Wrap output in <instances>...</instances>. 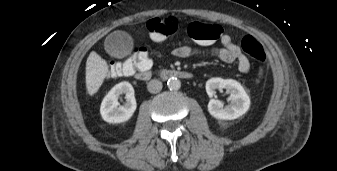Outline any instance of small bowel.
Listing matches in <instances>:
<instances>
[{"instance_id": "c3829d8e", "label": "small bowel", "mask_w": 337, "mask_h": 171, "mask_svg": "<svg viewBox=\"0 0 337 171\" xmlns=\"http://www.w3.org/2000/svg\"><path fill=\"white\" fill-rule=\"evenodd\" d=\"M206 52L225 63L237 62L238 69L242 73H248L251 65L248 58L241 52L229 35L221 37V47L212 48L207 51L198 50L189 45H178L173 49V55L178 58H190Z\"/></svg>"}]
</instances>
